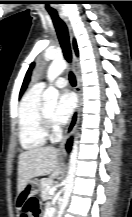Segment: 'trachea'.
I'll return each instance as SVG.
<instances>
[{
	"label": "trachea",
	"mask_w": 132,
	"mask_h": 217,
	"mask_svg": "<svg viewBox=\"0 0 132 217\" xmlns=\"http://www.w3.org/2000/svg\"><path fill=\"white\" fill-rule=\"evenodd\" d=\"M50 16L55 26L64 57L67 60V62L71 63L72 54L70 49L67 27L65 23L59 18L57 13H50ZM69 80L72 86L76 85V79L72 72H70L69 74Z\"/></svg>",
	"instance_id": "trachea-1"
}]
</instances>
